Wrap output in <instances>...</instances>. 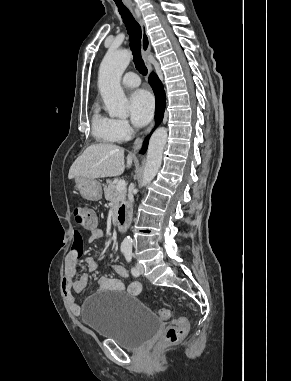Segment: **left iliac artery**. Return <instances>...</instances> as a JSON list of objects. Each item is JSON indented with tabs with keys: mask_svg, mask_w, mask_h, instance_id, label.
Listing matches in <instances>:
<instances>
[{
	"mask_svg": "<svg viewBox=\"0 0 291 381\" xmlns=\"http://www.w3.org/2000/svg\"><path fill=\"white\" fill-rule=\"evenodd\" d=\"M124 256H125V258H126V261H127L128 263H131V261H132V256H133L132 251H131V250H125V251H124ZM131 273H132L133 276H139V272H138V270H137L135 267H133V266H131Z\"/></svg>",
	"mask_w": 291,
	"mask_h": 381,
	"instance_id": "44dca946",
	"label": "left iliac artery"
}]
</instances>
